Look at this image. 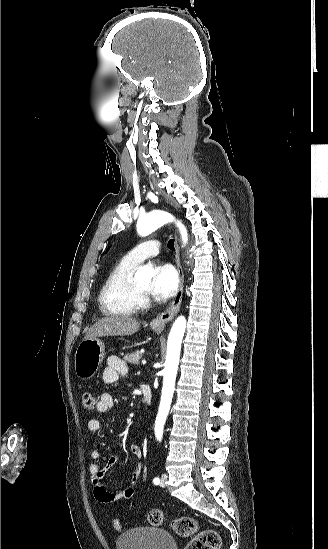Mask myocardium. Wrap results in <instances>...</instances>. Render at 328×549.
I'll return each instance as SVG.
<instances>
[{"label": "myocardium", "mask_w": 328, "mask_h": 549, "mask_svg": "<svg viewBox=\"0 0 328 549\" xmlns=\"http://www.w3.org/2000/svg\"><path fill=\"white\" fill-rule=\"evenodd\" d=\"M151 266H153V264L150 263V262L141 263V264L138 265L137 269L139 270L141 268H146V267H151ZM128 292H129L130 297L136 302V304L129 305L128 306L129 308H132V309H135V310H140V309H144L145 307L148 306V303H149L148 294H144L143 292L140 291V289L135 284V281H134L133 277L129 281Z\"/></svg>", "instance_id": "obj_1"}]
</instances>
